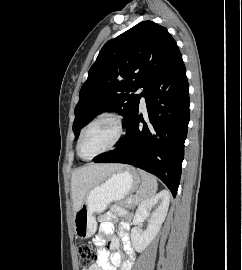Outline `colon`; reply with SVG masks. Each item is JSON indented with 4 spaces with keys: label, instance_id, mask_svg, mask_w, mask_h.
<instances>
[{
    "label": "colon",
    "instance_id": "colon-1",
    "mask_svg": "<svg viewBox=\"0 0 242 270\" xmlns=\"http://www.w3.org/2000/svg\"><path fill=\"white\" fill-rule=\"evenodd\" d=\"M78 254L79 264L82 267V270L98 260L97 250L88 244L80 245L78 248Z\"/></svg>",
    "mask_w": 242,
    "mask_h": 270
}]
</instances>
